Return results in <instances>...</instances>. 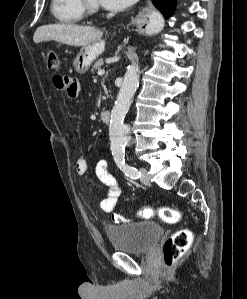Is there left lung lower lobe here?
I'll return each instance as SVG.
<instances>
[{
  "label": "left lung lower lobe",
  "instance_id": "obj_1",
  "mask_svg": "<svg viewBox=\"0 0 247 299\" xmlns=\"http://www.w3.org/2000/svg\"><path fill=\"white\" fill-rule=\"evenodd\" d=\"M155 7L161 11L165 18H169L175 8V0H152Z\"/></svg>",
  "mask_w": 247,
  "mask_h": 299
}]
</instances>
